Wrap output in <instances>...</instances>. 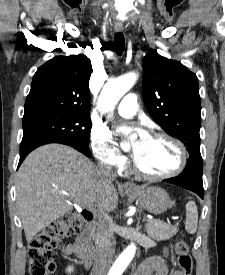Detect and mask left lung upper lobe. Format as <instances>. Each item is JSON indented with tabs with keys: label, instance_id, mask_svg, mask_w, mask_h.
Masks as SVG:
<instances>
[{
	"label": "left lung upper lobe",
	"instance_id": "left-lung-upper-lobe-1",
	"mask_svg": "<svg viewBox=\"0 0 225 275\" xmlns=\"http://www.w3.org/2000/svg\"><path fill=\"white\" fill-rule=\"evenodd\" d=\"M143 98L151 117L176 136L191 155L200 154L201 105L197 76L156 51L143 58Z\"/></svg>",
	"mask_w": 225,
	"mask_h": 275
}]
</instances>
